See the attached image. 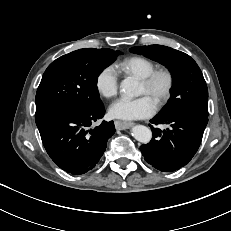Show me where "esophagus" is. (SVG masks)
Wrapping results in <instances>:
<instances>
[{
  "label": "esophagus",
  "instance_id": "esophagus-1",
  "mask_svg": "<svg viewBox=\"0 0 231 231\" xmlns=\"http://www.w3.org/2000/svg\"><path fill=\"white\" fill-rule=\"evenodd\" d=\"M133 125L134 123L132 122L115 121V128L117 130H125V129L132 127Z\"/></svg>",
  "mask_w": 231,
  "mask_h": 231
}]
</instances>
